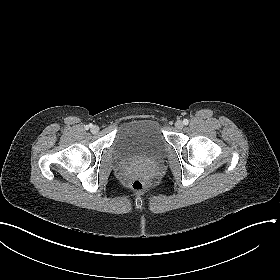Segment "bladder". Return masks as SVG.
<instances>
[{
	"mask_svg": "<svg viewBox=\"0 0 280 280\" xmlns=\"http://www.w3.org/2000/svg\"><path fill=\"white\" fill-rule=\"evenodd\" d=\"M165 144L160 123L153 118H139L128 120L119 127L114 149L123 158H154L163 153Z\"/></svg>",
	"mask_w": 280,
	"mask_h": 280,
	"instance_id": "1",
	"label": "bladder"
}]
</instances>
